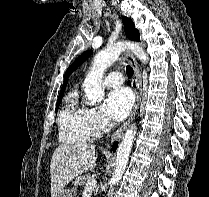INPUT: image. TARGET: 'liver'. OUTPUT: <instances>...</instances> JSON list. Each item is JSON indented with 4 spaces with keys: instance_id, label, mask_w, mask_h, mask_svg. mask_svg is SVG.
<instances>
[{
    "instance_id": "6515ba94",
    "label": "liver",
    "mask_w": 209,
    "mask_h": 197,
    "mask_svg": "<svg viewBox=\"0 0 209 197\" xmlns=\"http://www.w3.org/2000/svg\"><path fill=\"white\" fill-rule=\"evenodd\" d=\"M95 166V145L75 143L58 146L50 163L51 197H56L75 177Z\"/></svg>"
}]
</instances>
